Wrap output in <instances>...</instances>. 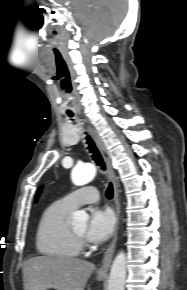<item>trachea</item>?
I'll list each match as a JSON object with an SVG mask.
<instances>
[{
    "mask_svg": "<svg viewBox=\"0 0 187 290\" xmlns=\"http://www.w3.org/2000/svg\"><path fill=\"white\" fill-rule=\"evenodd\" d=\"M70 117H73V114H68ZM87 144H88V149L90 151V153H92V158L95 161V163L101 167L102 170H105V164L103 162V159L100 155V153L98 152L97 148L95 147L94 142L92 141V139L87 136ZM106 197L108 199H112L113 197V186L112 184H109L108 189L106 191Z\"/></svg>",
    "mask_w": 187,
    "mask_h": 290,
    "instance_id": "3493384b",
    "label": "trachea"
}]
</instances>
